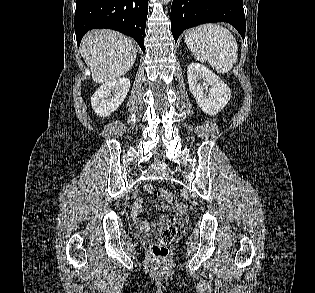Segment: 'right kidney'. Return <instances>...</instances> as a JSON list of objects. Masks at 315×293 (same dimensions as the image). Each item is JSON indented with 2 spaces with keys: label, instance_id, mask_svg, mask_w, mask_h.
<instances>
[{
  "label": "right kidney",
  "instance_id": "1",
  "mask_svg": "<svg viewBox=\"0 0 315 293\" xmlns=\"http://www.w3.org/2000/svg\"><path fill=\"white\" fill-rule=\"evenodd\" d=\"M130 81L123 77L104 83L91 97V106L100 117H107L122 104L129 92Z\"/></svg>",
  "mask_w": 315,
  "mask_h": 293
}]
</instances>
